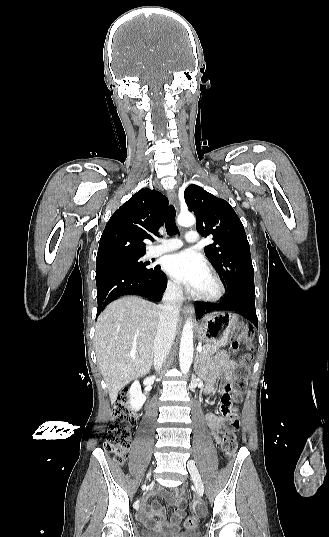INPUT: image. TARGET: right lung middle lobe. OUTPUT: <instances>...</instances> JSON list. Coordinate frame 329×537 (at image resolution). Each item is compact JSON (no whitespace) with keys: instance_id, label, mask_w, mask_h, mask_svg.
I'll use <instances>...</instances> for the list:
<instances>
[{"instance_id":"dd1d6c3e","label":"right lung middle lobe","mask_w":329,"mask_h":537,"mask_svg":"<svg viewBox=\"0 0 329 537\" xmlns=\"http://www.w3.org/2000/svg\"><path fill=\"white\" fill-rule=\"evenodd\" d=\"M150 263L143 262L141 260V257L137 258H131V259H121V260H114L109 261L100 265H96V270L101 268H119V269H126V270H132L136 272H142L147 273L152 271L153 267L148 266Z\"/></svg>"}]
</instances>
